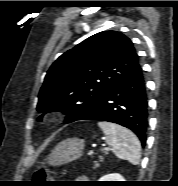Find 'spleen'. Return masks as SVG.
Listing matches in <instances>:
<instances>
[{"label": "spleen", "mask_w": 178, "mask_h": 186, "mask_svg": "<svg viewBox=\"0 0 178 186\" xmlns=\"http://www.w3.org/2000/svg\"><path fill=\"white\" fill-rule=\"evenodd\" d=\"M99 127L106 136V142L114 154L132 165H138L141 158V144L130 130L115 123L99 122Z\"/></svg>", "instance_id": "obj_1"}]
</instances>
